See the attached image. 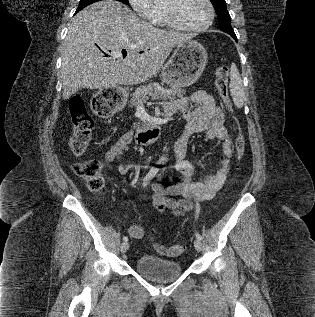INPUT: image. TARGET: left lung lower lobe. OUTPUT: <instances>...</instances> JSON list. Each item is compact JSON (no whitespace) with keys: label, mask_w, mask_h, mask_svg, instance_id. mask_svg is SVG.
I'll return each instance as SVG.
<instances>
[{"label":"left lung lower lobe","mask_w":315,"mask_h":317,"mask_svg":"<svg viewBox=\"0 0 315 317\" xmlns=\"http://www.w3.org/2000/svg\"><path fill=\"white\" fill-rule=\"evenodd\" d=\"M232 37L237 41L236 35H232Z\"/></svg>","instance_id":"1"}]
</instances>
